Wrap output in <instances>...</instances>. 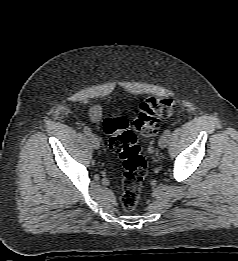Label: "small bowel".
Returning <instances> with one entry per match:
<instances>
[{
  "label": "small bowel",
  "mask_w": 238,
  "mask_h": 261,
  "mask_svg": "<svg viewBox=\"0 0 238 261\" xmlns=\"http://www.w3.org/2000/svg\"><path fill=\"white\" fill-rule=\"evenodd\" d=\"M90 118L93 122L98 123L101 119V109L99 106L95 105L90 109Z\"/></svg>",
  "instance_id": "1"
}]
</instances>
